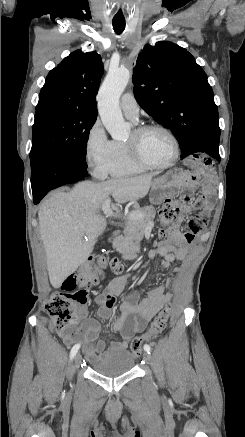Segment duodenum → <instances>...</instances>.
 Returning <instances> with one entry per match:
<instances>
[{
	"label": "duodenum",
	"mask_w": 245,
	"mask_h": 437,
	"mask_svg": "<svg viewBox=\"0 0 245 437\" xmlns=\"http://www.w3.org/2000/svg\"><path fill=\"white\" fill-rule=\"evenodd\" d=\"M115 238H116V235L113 236V239H115ZM123 254L126 258H129V259H135L138 255L137 251L133 248L124 250Z\"/></svg>",
	"instance_id": "1"
}]
</instances>
